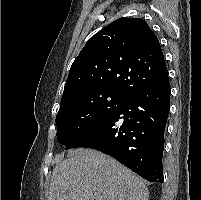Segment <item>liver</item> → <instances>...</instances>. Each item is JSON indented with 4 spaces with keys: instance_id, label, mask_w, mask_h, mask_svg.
Here are the masks:
<instances>
[{
    "instance_id": "6515ba94",
    "label": "liver",
    "mask_w": 201,
    "mask_h": 200,
    "mask_svg": "<svg viewBox=\"0 0 201 200\" xmlns=\"http://www.w3.org/2000/svg\"><path fill=\"white\" fill-rule=\"evenodd\" d=\"M144 182L118 161L76 149L52 172L47 200H148Z\"/></svg>"
}]
</instances>
